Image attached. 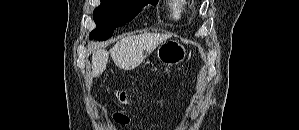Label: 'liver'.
<instances>
[{"label":"liver","mask_w":299,"mask_h":130,"mask_svg":"<svg viewBox=\"0 0 299 130\" xmlns=\"http://www.w3.org/2000/svg\"><path fill=\"white\" fill-rule=\"evenodd\" d=\"M170 37V34L144 33L119 40L109 52L105 49H97L92 55V77L104 72L109 53L118 68L126 71L133 70L145 60L144 52L150 54Z\"/></svg>","instance_id":"6515ba94"}]
</instances>
